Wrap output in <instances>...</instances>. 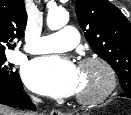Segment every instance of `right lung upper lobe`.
<instances>
[{
    "mask_svg": "<svg viewBox=\"0 0 131 115\" xmlns=\"http://www.w3.org/2000/svg\"><path fill=\"white\" fill-rule=\"evenodd\" d=\"M26 23L23 0H0V53L15 47L12 42L23 36Z\"/></svg>",
    "mask_w": 131,
    "mask_h": 115,
    "instance_id": "1",
    "label": "right lung upper lobe"
}]
</instances>
